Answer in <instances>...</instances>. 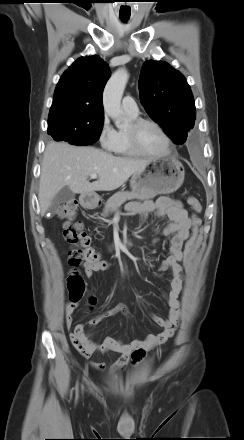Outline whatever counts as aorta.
<instances>
[{
	"mask_svg": "<svg viewBox=\"0 0 244 440\" xmlns=\"http://www.w3.org/2000/svg\"><path fill=\"white\" fill-rule=\"evenodd\" d=\"M128 78L129 75L125 69H118L108 80L103 93V105L105 113L114 120L118 128L123 126V110L121 108V99Z\"/></svg>",
	"mask_w": 244,
	"mask_h": 440,
	"instance_id": "762f6f07",
	"label": "aorta"
}]
</instances>
